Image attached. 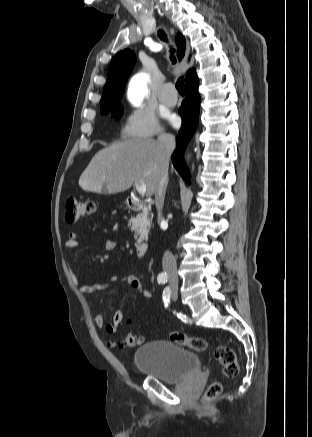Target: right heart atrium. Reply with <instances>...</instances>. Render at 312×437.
I'll list each match as a JSON object with an SVG mask.
<instances>
[{
  "label": "right heart atrium",
  "mask_w": 312,
  "mask_h": 437,
  "mask_svg": "<svg viewBox=\"0 0 312 437\" xmlns=\"http://www.w3.org/2000/svg\"><path fill=\"white\" fill-rule=\"evenodd\" d=\"M162 134V129L155 114L138 109L128 113L122 122L120 135L125 139H148Z\"/></svg>",
  "instance_id": "obj_1"
}]
</instances>
